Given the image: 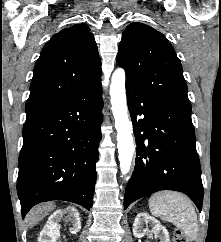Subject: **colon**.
Wrapping results in <instances>:
<instances>
[{"mask_svg": "<svg viewBox=\"0 0 221 242\" xmlns=\"http://www.w3.org/2000/svg\"><path fill=\"white\" fill-rule=\"evenodd\" d=\"M173 242H189V239L182 230H175L173 233Z\"/></svg>", "mask_w": 221, "mask_h": 242, "instance_id": "1", "label": "colon"}]
</instances>
